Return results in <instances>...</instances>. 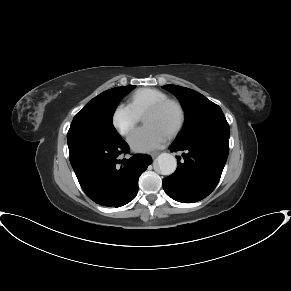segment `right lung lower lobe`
Returning a JSON list of instances; mask_svg holds the SVG:
<instances>
[{"mask_svg": "<svg viewBox=\"0 0 291 291\" xmlns=\"http://www.w3.org/2000/svg\"><path fill=\"white\" fill-rule=\"evenodd\" d=\"M69 159L79 184L86 195L103 206L120 207L133 200L138 192V179L152 159L138 154L119 160L129 148L122 139L102 142L88 138L68 140Z\"/></svg>", "mask_w": 291, "mask_h": 291, "instance_id": "98d812e1", "label": "right lung lower lobe"}]
</instances>
